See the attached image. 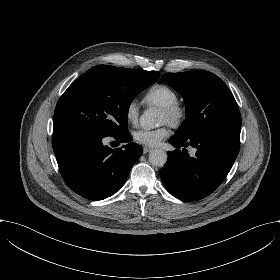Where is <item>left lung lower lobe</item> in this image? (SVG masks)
<instances>
[{"label":"left lung lower lobe","instance_id":"obj_1","mask_svg":"<svg viewBox=\"0 0 280 280\" xmlns=\"http://www.w3.org/2000/svg\"><path fill=\"white\" fill-rule=\"evenodd\" d=\"M241 127L211 129L189 138L173 136L175 147L196 148L195 157L180 150L168 152V161L160 170L161 179L176 198L197 201L213 193L230 171L240 148ZM187 151V150H186Z\"/></svg>","mask_w":280,"mask_h":280}]
</instances>
